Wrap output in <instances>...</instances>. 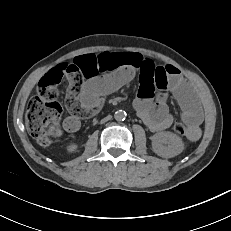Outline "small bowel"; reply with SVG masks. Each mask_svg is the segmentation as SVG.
Returning <instances> with one entry per match:
<instances>
[{"instance_id": "obj_1", "label": "small bowel", "mask_w": 231, "mask_h": 231, "mask_svg": "<svg viewBox=\"0 0 231 231\" xmlns=\"http://www.w3.org/2000/svg\"><path fill=\"white\" fill-rule=\"evenodd\" d=\"M63 75L68 80L66 106L69 115L63 122L68 132L77 131L81 119L95 114L105 96L139 75L140 86L133 105L150 130L162 131L171 126L173 117L167 97L172 92L189 126L188 139L195 141L201 135L199 102L179 69L172 65H158L151 58L133 52L91 53L57 65L43 79L58 83Z\"/></svg>"}]
</instances>
